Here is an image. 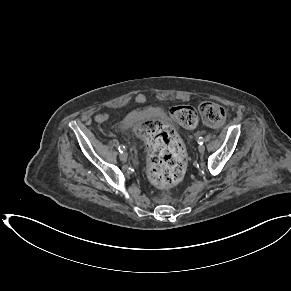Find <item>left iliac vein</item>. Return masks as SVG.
Masks as SVG:
<instances>
[{"instance_id":"left-iliac-vein-1","label":"left iliac vein","mask_w":291,"mask_h":291,"mask_svg":"<svg viewBox=\"0 0 291 291\" xmlns=\"http://www.w3.org/2000/svg\"><path fill=\"white\" fill-rule=\"evenodd\" d=\"M198 151H199L200 153H204V151H205V146H204L203 144L199 145V147H198Z\"/></svg>"}]
</instances>
